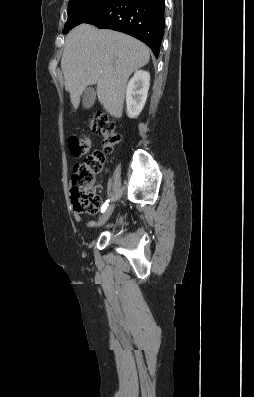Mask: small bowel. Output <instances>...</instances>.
<instances>
[{"instance_id": "c3829d8e", "label": "small bowel", "mask_w": 254, "mask_h": 397, "mask_svg": "<svg viewBox=\"0 0 254 397\" xmlns=\"http://www.w3.org/2000/svg\"><path fill=\"white\" fill-rule=\"evenodd\" d=\"M74 218H75L76 221H81V217H80V215H78V214H75V215H74ZM118 222H119V223H123V218H122V216H119ZM94 225H95V224H94L93 221H89V222L86 223V226H88V227H93Z\"/></svg>"}]
</instances>
